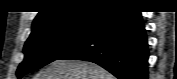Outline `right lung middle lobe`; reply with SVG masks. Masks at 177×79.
I'll return each instance as SVG.
<instances>
[{"label":"right lung middle lobe","instance_id":"dd1d6c3e","mask_svg":"<svg viewBox=\"0 0 177 79\" xmlns=\"http://www.w3.org/2000/svg\"><path fill=\"white\" fill-rule=\"evenodd\" d=\"M101 16L94 13L33 29L24 46L25 58L18 67V78L58 60L87 37Z\"/></svg>","mask_w":177,"mask_h":79}]
</instances>
